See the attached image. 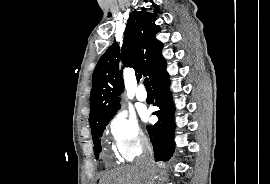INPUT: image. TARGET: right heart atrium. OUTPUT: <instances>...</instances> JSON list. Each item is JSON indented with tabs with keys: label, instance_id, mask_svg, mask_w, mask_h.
<instances>
[{
	"label": "right heart atrium",
	"instance_id": "1",
	"mask_svg": "<svg viewBox=\"0 0 270 184\" xmlns=\"http://www.w3.org/2000/svg\"><path fill=\"white\" fill-rule=\"evenodd\" d=\"M107 130L115 152L124 162L133 161L147 145V138L137 120L125 112L115 113Z\"/></svg>",
	"mask_w": 270,
	"mask_h": 184
}]
</instances>
